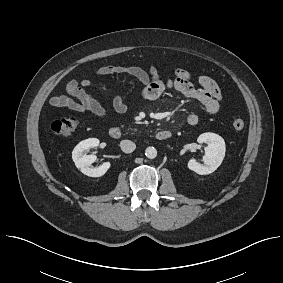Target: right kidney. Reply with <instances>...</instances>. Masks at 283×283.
Returning <instances> with one entry per match:
<instances>
[{"instance_id":"ca27d5eb","label":"right kidney","mask_w":283,"mask_h":283,"mask_svg":"<svg viewBox=\"0 0 283 283\" xmlns=\"http://www.w3.org/2000/svg\"><path fill=\"white\" fill-rule=\"evenodd\" d=\"M99 143L100 141L97 138H89L81 141L72 152V159L76 167L89 177L103 176L111 166L110 162H105L99 167L91 166L95 162L96 156L93 154L87 155L86 152L90 148L99 146Z\"/></svg>"}]
</instances>
